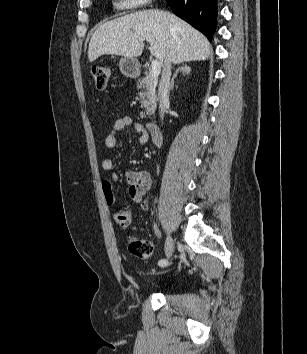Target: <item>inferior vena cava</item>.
Wrapping results in <instances>:
<instances>
[{
    "label": "inferior vena cava",
    "instance_id": "inferior-vena-cava-1",
    "mask_svg": "<svg viewBox=\"0 0 307 354\" xmlns=\"http://www.w3.org/2000/svg\"><path fill=\"white\" fill-rule=\"evenodd\" d=\"M170 76H171V61L169 57H166L162 76L158 87V98H159V109H160V117L163 119L165 105L168 102L169 91H170Z\"/></svg>",
    "mask_w": 307,
    "mask_h": 354
}]
</instances>
